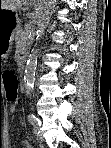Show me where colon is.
I'll return each mask as SVG.
<instances>
[{"instance_id": "1", "label": "colon", "mask_w": 111, "mask_h": 148, "mask_svg": "<svg viewBox=\"0 0 111 148\" xmlns=\"http://www.w3.org/2000/svg\"><path fill=\"white\" fill-rule=\"evenodd\" d=\"M0 81L3 84L5 97L9 101H16L19 93V80L17 76L8 70L0 71Z\"/></svg>"}]
</instances>
